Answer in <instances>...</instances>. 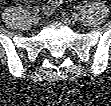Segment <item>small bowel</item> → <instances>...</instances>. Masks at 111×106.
<instances>
[{
  "instance_id": "1",
  "label": "small bowel",
  "mask_w": 111,
  "mask_h": 106,
  "mask_svg": "<svg viewBox=\"0 0 111 106\" xmlns=\"http://www.w3.org/2000/svg\"><path fill=\"white\" fill-rule=\"evenodd\" d=\"M63 3V0H49L47 4L44 6L45 14H52L58 6Z\"/></svg>"
}]
</instances>
